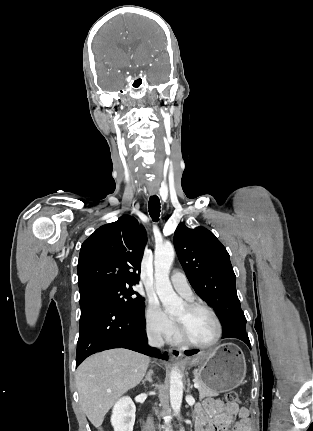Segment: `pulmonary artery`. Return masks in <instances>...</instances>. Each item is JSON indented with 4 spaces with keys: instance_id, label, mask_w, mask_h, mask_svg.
Here are the masks:
<instances>
[{
    "instance_id": "obj_1",
    "label": "pulmonary artery",
    "mask_w": 313,
    "mask_h": 431,
    "mask_svg": "<svg viewBox=\"0 0 313 431\" xmlns=\"http://www.w3.org/2000/svg\"><path fill=\"white\" fill-rule=\"evenodd\" d=\"M171 283L174 289L186 299L192 298V289L186 276L180 271H174L171 275Z\"/></svg>"
}]
</instances>
